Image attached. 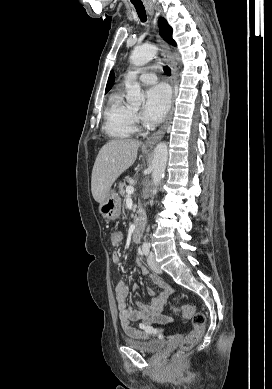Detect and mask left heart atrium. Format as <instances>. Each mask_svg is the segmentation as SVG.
<instances>
[{"label":"left heart atrium","instance_id":"39dd6f15","mask_svg":"<svg viewBox=\"0 0 272 389\" xmlns=\"http://www.w3.org/2000/svg\"><path fill=\"white\" fill-rule=\"evenodd\" d=\"M170 106V92L164 85H155L146 93L145 119L149 122L161 121Z\"/></svg>","mask_w":272,"mask_h":389}]
</instances>
